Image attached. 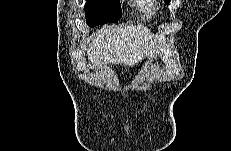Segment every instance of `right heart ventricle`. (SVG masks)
Returning a JSON list of instances; mask_svg holds the SVG:
<instances>
[{
	"instance_id": "e07e8e85",
	"label": "right heart ventricle",
	"mask_w": 231,
	"mask_h": 151,
	"mask_svg": "<svg viewBox=\"0 0 231 151\" xmlns=\"http://www.w3.org/2000/svg\"><path fill=\"white\" fill-rule=\"evenodd\" d=\"M141 3V11L144 12L145 14H149L153 11L154 5L152 1H140Z\"/></svg>"
}]
</instances>
